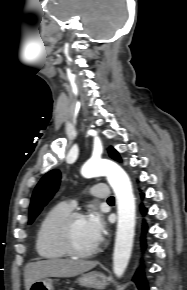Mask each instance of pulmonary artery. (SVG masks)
<instances>
[{"label": "pulmonary artery", "instance_id": "e3ab8cb5", "mask_svg": "<svg viewBox=\"0 0 187 290\" xmlns=\"http://www.w3.org/2000/svg\"><path fill=\"white\" fill-rule=\"evenodd\" d=\"M90 193L99 199L108 200L110 198V190L104 185H95L91 188ZM68 205L72 208L76 205L75 200H71Z\"/></svg>", "mask_w": 187, "mask_h": 290}]
</instances>
